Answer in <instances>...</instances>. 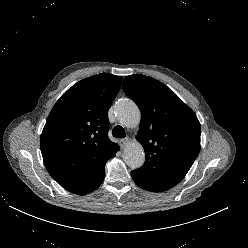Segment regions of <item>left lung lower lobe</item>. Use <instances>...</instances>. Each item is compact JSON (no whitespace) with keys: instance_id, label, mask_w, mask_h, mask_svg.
Listing matches in <instances>:
<instances>
[{"instance_id":"obj_1","label":"left lung lower lobe","mask_w":248,"mask_h":248,"mask_svg":"<svg viewBox=\"0 0 248 248\" xmlns=\"http://www.w3.org/2000/svg\"><path fill=\"white\" fill-rule=\"evenodd\" d=\"M131 175H132V178L133 180L135 181V183L138 185V180H137V177H136V174L134 171L131 172ZM139 186V185H138Z\"/></svg>"}]
</instances>
